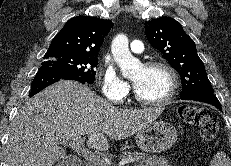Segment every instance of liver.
Returning <instances> with one entry per match:
<instances>
[{
	"mask_svg": "<svg viewBox=\"0 0 231 166\" xmlns=\"http://www.w3.org/2000/svg\"><path fill=\"white\" fill-rule=\"evenodd\" d=\"M163 107L122 109L96 95L86 85L61 80L29 99L10 126L7 166H53L65 158L59 139L86 135L87 146L109 149L151 124Z\"/></svg>",
	"mask_w": 231,
	"mask_h": 166,
	"instance_id": "liver-1",
	"label": "liver"
}]
</instances>
